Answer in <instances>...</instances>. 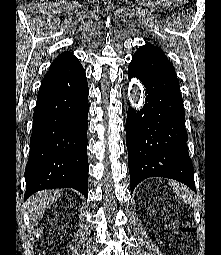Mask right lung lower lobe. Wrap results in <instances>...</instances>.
<instances>
[{
    "mask_svg": "<svg viewBox=\"0 0 221 255\" xmlns=\"http://www.w3.org/2000/svg\"><path fill=\"white\" fill-rule=\"evenodd\" d=\"M88 93L76 57L45 74L33 114L25 200L50 188H74L87 197Z\"/></svg>",
    "mask_w": 221,
    "mask_h": 255,
    "instance_id": "1",
    "label": "right lung lower lobe"
}]
</instances>
